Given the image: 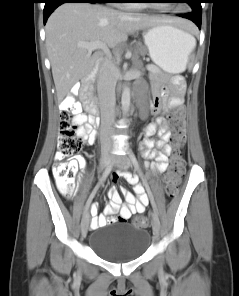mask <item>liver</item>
Here are the masks:
<instances>
[{"label": "liver", "instance_id": "1", "mask_svg": "<svg viewBox=\"0 0 239 296\" xmlns=\"http://www.w3.org/2000/svg\"><path fill=\"white\" fill-rule=\"evenodd\" d=\"M185 23L180 19L121 12L100 4L65 3L59 6L45 27L46 48L58 100L94 69L96 54L92 55L91 50L78 43L100 41L114 48L135 31L159 24Z\"/></svg>", "mask_w": 239, "mask_h": 296}]
</instances>
